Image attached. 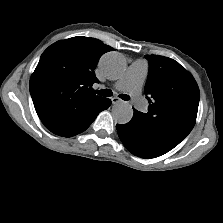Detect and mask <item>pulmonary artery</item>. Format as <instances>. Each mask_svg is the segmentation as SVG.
<instances>
[{
  "label": "pulmonary artery",
  "instance_id": "pulmonary-artery-1",
  "mask_svg": "<svg viewBox=\"0 0 223 223\" xmlns=\"http://www.w3.org/2000/svg\"><path fill=\"white\" fill-rule=\"evenodd\" d=\"M146 65L143 61L133 62L127 71L117 80L115 88L127 92L137 109H144L146 103L141 96V89L146 77Z\"/></svg>",
  "mask_w": 223,
  "mask_h": 223
}]
</instances>
